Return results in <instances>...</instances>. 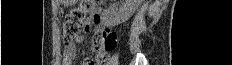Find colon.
<instances>
[{
	"mask_svg": "<svg viewBox=\"0 0 232 65\" xmlns=\"http://www.w3.org/2000/svg\"><path fill=\"white\" fill-rule=\"evenodd\" d=\"M99 1L81 0L67 15L63 26V39L66 44L75 40L84 26L88 15L93 12ZM118 45V37L110 32L105 37H96L93 42L95 58L91 62L105 63L109 52L113 51Z\"/></svg>",
	"mask_w": 232,
	"mask_h": 65,
	"instance_id": "5ec220e1",
	"label": "colon"
}]
</instances>
